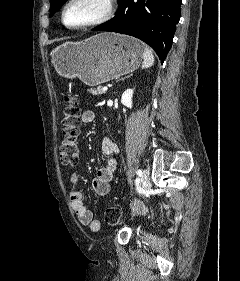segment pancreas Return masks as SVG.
<instances>
[{
	"label": "pancreas",
	"mask_w": 240,
	"mask_h": 281,
	"mask_svg": "<svg viewBox=\"0 0 240 281\" xmlns=\"http://www.w3.org/2000/svg\"><path fill=\"white\" fill-rule=\"evenodd\" d=\"M89 93H92L93 95H101L103 93H105V91H103L102 87H97V88H90Z\"/></svg>",
	"instance_id": "obj_1"
}]
</instances>
